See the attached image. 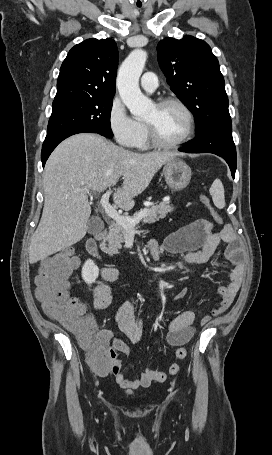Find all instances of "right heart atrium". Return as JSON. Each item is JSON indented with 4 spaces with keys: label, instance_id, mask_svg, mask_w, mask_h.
<instances>
[{
    "label": "right heart atrium",
    "instance_id": "right-heart-atrium-1",
    "mask_svg": "<svg viewBox=\"0 0 272 455\" xmlns=\"http://www.w3.org/2000/svg\"><path fill=\"white\" fill-rule=\"evenodd\" d=\"M108 126L114 140L122 147H135L142 125L131 117L119 97H114L108 109Z\"/></svg>",
    "mask_w": 272,
    "mask_h": 455
}]
</instances>
